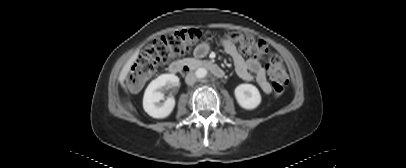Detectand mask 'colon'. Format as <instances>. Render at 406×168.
Wrapping results in <instances>:
<instances>
[{"instance_id":"1","label":"colon","mask_w":406,"mask_h":168,"mask_svg":"<svg viewBox=\"0 0 406 168\" xmlns=\"http://www.w3.org/2000/svg\"><path fill=\"white\" fill-rule=\"evenodd\" d=\"M203 36L201 30L191 28L166 34L154 40L133 63L127 76L129 86L133 90L140 89L157 67L186 54L202 40ZM228 39L238 45L246 56L269 54V48L265 42L256 41L247 33L230 32ZM269 72L275 95H282L288 84V75L278 56L269 57Z\"/></svg>"}]
</instances>
